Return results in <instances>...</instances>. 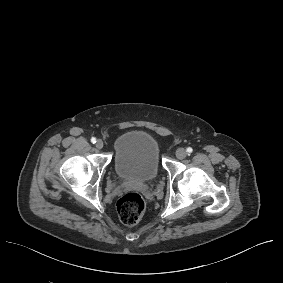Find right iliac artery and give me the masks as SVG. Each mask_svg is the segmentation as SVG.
Wrapping results in <instances>:
<instances>
[{"instance_id": "obj_1", "label": "right iliac artery", "mask_w": 283, "mask_h": 283, "mask_svg": "<svg viewBox=\"0 0 283 283\" xmlns=\"http://www.w3.org/2000/svg\"><path fill=\"white\" fill-rule=\"evenodd\" d=\"M91 142L94 144V143H96V139L93 137L92 139H91Z\"/></svg>"}]
</instances>
